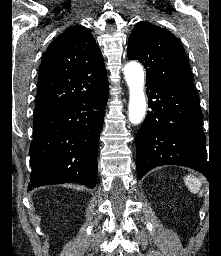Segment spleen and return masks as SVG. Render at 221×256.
I'll return each instance as SVG.
<instances>
[{"label":"spleen","mask_w":221,"mask_h":256,"mask_svg":"<svg viewBox=\"0 0 221 256\" xmlns=\"http://www.w3.org/2000/svg\"><path fill=\"white\" fill-rule=\"evenodd\" d=\"M184 181H185L186 186L190 190V192H192L194 194H196V193L202 194V191H201L202 182H201L200 178H197L193 175H188L184 178Z\"/></svg>","instance_id":"spleen-1"}]
</instances>
